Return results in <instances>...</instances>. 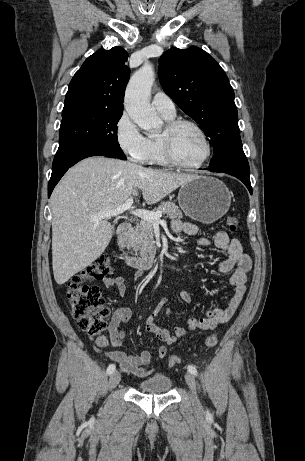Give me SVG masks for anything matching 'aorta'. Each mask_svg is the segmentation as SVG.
<instances>
[{"mask_svg":"<svg viewBox=\"0 0 305 461\" xmlns=\"http://www.w3.org/2000/svg\"><path fill=\"white\" fill-rule=\"evenodd\" d=\"M154 80L153 66L145 63L130 78L124 98V107L130 118L140 128L151 134L159 132L162 126V120L149 102Z\"/></svg>","mask_w":305,"mask_h":461,"instance_id":"762f6f07","label":"aorta"}]
</instances>
